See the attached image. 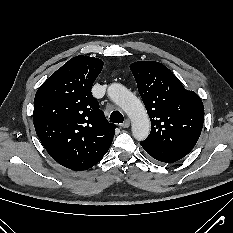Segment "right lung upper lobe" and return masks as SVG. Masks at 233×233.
I'll list each match as a JSON object with an SVG mask.
<instances>
[{"label":"right lung upper lobe","mask_w":233,"mask_h":233,"mask_svg":"<svg viewBox=\"0 0 233 233\" xmlns=\"http://www.w3.org/2000/svg\"><path fill=\"white\" fill-rule=\"evenodd\" d=\"M103 61L76 56L51 75L34 99V127L49 155L72 170H87L109 150L116 126L109 123L91 88Z\"/></svg>","instance_id":"obj_1"}]
</instances>
